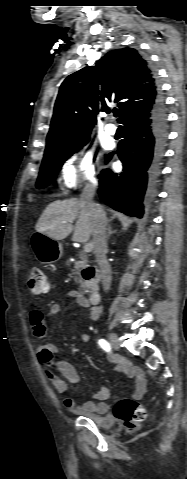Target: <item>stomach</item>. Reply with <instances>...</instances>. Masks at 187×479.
<instances>
[{
  "label": "stomach",
  "instance_id": "0dacf381",
  "mask_svg": "<svg viewBox=\"0 0 187 479\" xmlns=\"http://www.w3.org/2000/svg\"><path fill=\"white\" fill-rule=\"evenodd\" d=\"M30 243L36 259L43 264L54 263L63 255L62 243L41 232L33 233Z\"/></svg>",
  "mask_w": 187,
  "mask_h": 479
}]
</instances>
